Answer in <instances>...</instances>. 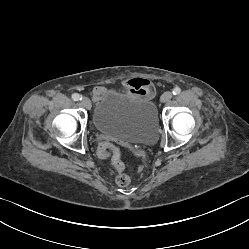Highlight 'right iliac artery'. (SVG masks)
<instances>
[{
    "instance_id": "1",
    "label": "right iliac artery",
    "mask_w": 249,
    "mask_h": 249,
    "mask_svg": "<svg viewBox=\"0 0 249 249\" xmlns=\"http://www.w3.org/2000/svg\"><path fill=\"white\" fill-rule=\"evenodd\" d=\"M72 99H73L74 101H79V100L82 99V97H81L79 94L74 93V94H72Z\"/></svg>"
}]
</instances>
